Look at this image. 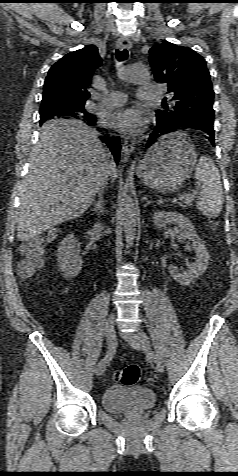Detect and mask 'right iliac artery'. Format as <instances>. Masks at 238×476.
Returning a JSON list of instances; mask_svg holds the SVG:
<instances>
[{
    "mask_svg": "<svg viewBox=\"0 0 238 476\" xmlns=\"http://www.w3.org/2000/svg\"><path fill=\"white\" fill-rule=\"evenodd\" d=\"M109 334L111 333L110 331L108 332ZM117 339H115L114 336L111 334L107 337V343L109 346V350L105 356L106 362H109L113 359L115 352H116V345H117Z\"/></svg>",
    "mask_w": 238,
    "mask_h": 476,
    "instance_id": "1",
    "label": "right iliac artery"
}]
</instances>
